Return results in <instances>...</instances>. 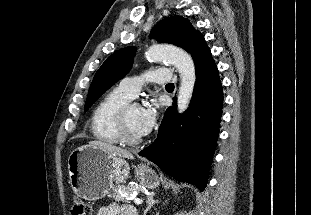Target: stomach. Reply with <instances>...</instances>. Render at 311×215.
Instances as JSON below:
<instances>
[{"instance_id":"obj_1","label":"stomach","mask_w":311,"mask_h":215,"mask_svg":"<svg viewBox=\"0 0 311 215\" xmlns=\"http://www.w3.org/2000/svg\"><path fill=\"white\" fill-rule=\"evenodd\" d=\"M69 182L75 194L88 201L106 196L115 184L125 182L130 166L122 158L113 157L99 148L83 145L68 157ZM140 186L155 189L160 185L156 172L145 164L135 168Z\"/></svg>"}]
</instances>
